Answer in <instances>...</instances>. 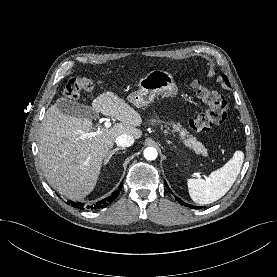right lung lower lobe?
Listing matches in <instances>:
<instances>
[{"label": "right lung lower lobe", "instance_id": "1", "mask_svg": "<svg viewBox=\"0 0 277 277\" xmlns=\"http://www.w3.org/2000/svg\"><path fill=\"white\" fill-rule=\"evenodd\" d=\"M121 187H122V183L119 186L118 190L114 191L108 198H105V199L97 202L95 205H88L85 207L84 204L76 203L73 201H68L67 204H70L71 206H73L75 208H79V209H84V208L92 209V210L100 209V208H103V207H106L107 205H109L118 196Z\"/></svg>", "mask_w": 277, "mask_h": 277}]
</instances>
